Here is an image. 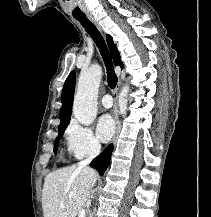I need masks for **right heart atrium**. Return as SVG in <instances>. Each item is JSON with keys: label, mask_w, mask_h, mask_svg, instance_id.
Wrapping results in <instances>:
<instances>
[{"label": "right heart atrium", "mask_w": 211, "mask_h": 217, "mask_svg": "<svg viewBox=\"0 0 211 217\" xmlns=\"http://www.w3.org/2000/svg\"><path fill=\"white\" fill-rule=\"evenodd\" d=\"M68 152L77 159L96 156L101 145L89 126L71 121L65 133Z\"/></svg>", "instance_id": "obj_1"}]
</instances>
